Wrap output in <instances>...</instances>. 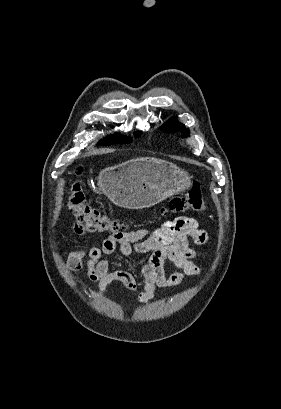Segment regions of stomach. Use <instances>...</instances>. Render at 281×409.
Listing matches in <instances>:
<instances>
[{"mask_svg":"<svg viewBox=\"0 0 281 409\" xmlns=\"http://www.w3.org/2000/svg\"><path fill=\"white\" fill-rule=\"evenodd\" d=\"M97 184L117 207L147 209L168 196L185 192L193 182L187 170L169 160L139 156L103 168Z\"/></svg>","mask_w":281,"mask_h":409,"instance_id":"stomach-1","label":"stomach"}]
</instances>
